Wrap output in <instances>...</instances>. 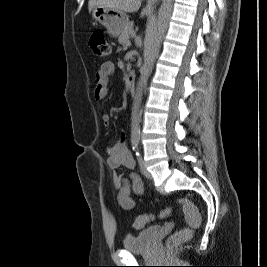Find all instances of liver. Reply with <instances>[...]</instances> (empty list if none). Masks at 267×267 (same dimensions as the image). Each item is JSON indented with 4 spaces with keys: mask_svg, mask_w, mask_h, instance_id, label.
Here are the masks:
<instances>
[{
    "mask_svg": "<svg viewBox=\"0 0 267 267\" xmlns=\"http://www.w3.org/2000/svg\"><path fill=\"white\" fill-rule=\"evenodd\" d=\"M142 0H89L88 9L91 12L95 7H104L123 13H134L141 7ZM148 13V6L141 12V17Z\"/></svg>",
    "mask_w": 267,
    "mask_h": 267,
    "instance_id": "liver-1",
    "label": "liver"
}]
</instances>
